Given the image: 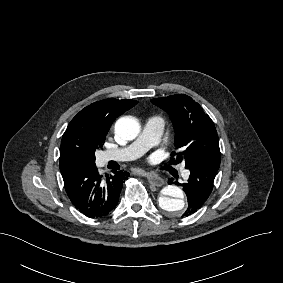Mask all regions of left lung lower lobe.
<instances>
[{
	"label": "left lung lower lobe",
	"mask_w": 283,
	"mask_h": 283,
	"mask_svg": "<svg viewBox=\"0 0 283 283\" xmlns=\"http://www.w3.org/2000/svg\"><path fill=\"white\" fill-rule=\"evenodd\" d=\"M220 164L206 162L189 168L190 176L184 183V190L188 197V208L182 216H189L196 212L208 199L213 189V183Z\"/></svg>",
	"instance_id": "0a47b994"
}]
</instances>
